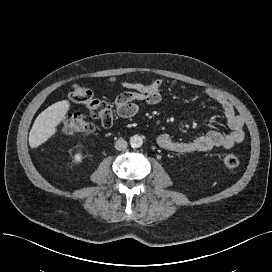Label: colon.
<instances>
[{"instance_id":"colon-1","label":"colon","mask_w":272,"mask_h":272,"mask_svg":"<svg viewBox=\"0 0 272 272\" xmlns=\"http://www.w3.org/2000/svg\"><path fill=\"white\" fill-rule=\"evenodd\" d=\"M71 103L83 106L90 117L98 121L99 125L108 128L112 125L114 113L111 105L94 96L88 88L74 85L68 94ZM63 130L67 134H78L92 132L96 125L83 114H69L63 120ZM223 163L228 169H236L240 165V160L236 155L228 154L224 157Z\"/></svg>"}]
</instances>
